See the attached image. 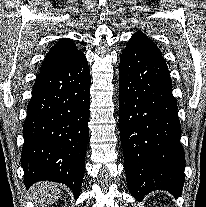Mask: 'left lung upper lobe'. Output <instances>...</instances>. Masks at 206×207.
Masks as SVG:
<instances>
[{"instance_id":"5c2ea615","label":"left lung upper lobe","mask_w":206,"mask_h":207,"mask_svg":"<svg viewBox=\"0 0 206 207\" xmlns=\"http://www.w3.org/2000/svg\"><path fill=\"white\" fill-rule=\"evenodd\" d=\"M127 45L136 46L145 52L156 54L162 57L161 51L155 43L145 36L142 32H136L133 37L128 41Z\"/></svg>"}]
</instances>
